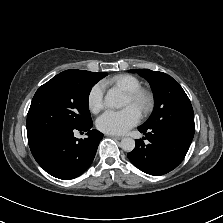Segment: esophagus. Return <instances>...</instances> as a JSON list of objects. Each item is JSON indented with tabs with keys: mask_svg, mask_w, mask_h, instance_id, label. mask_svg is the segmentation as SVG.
I'll list each match as a JSON object with an SVG mask.
<instances>
[{
	"mask_svg": "<svg viewBox=\"0 0 223 223\" xmlns=\"http://www.w3.org/2000/svg\"><path fill=\"white\" fill-rule=\"evenodd\" d=\"M107 137L113 138V139H117V140H121L122 137L121 136H117V135H113V134H107Z\"/></svg>",
	"mask_w": 223,
	"mask_h": 223,
	"instance_id": "obj_1",
	"label": "esophagus"
}]
</instances>
